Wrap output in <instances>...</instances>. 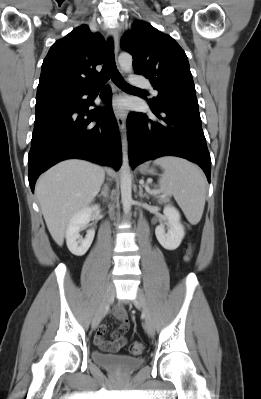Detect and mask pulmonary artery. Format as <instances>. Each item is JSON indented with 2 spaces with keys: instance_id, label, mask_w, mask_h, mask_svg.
<instances>
[{
  "instance_id": "1",
  "label": "pulmonary artery",
  "mask_w": 261,
  "mask_h": 399,
  "mask_svg": "<svg viewBox=\"0 0 261 399\" xmlns=\"http://www.w3.org/2000/svg\"><path fill=\"white\" fill-rule=\"evenodd\" d=\"M132 82L142 88L151 89L149 82L145 79H138V78L135 79L134 78V79H132ZM153 93L155 94V91H153Z\"/></svg>"
}]
</instances>
